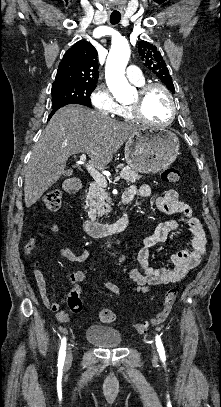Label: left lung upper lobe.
Instances as JSON below:
<instances>
[{
    "label": "left lung upper lobe",
    "instance_id": "5c2ea615",
    "mask_svg": "<svg viewBox=\"0 0 221 407\" xmlns=\"http://www.w3.org/2000/svg\"><path fill=\"white\" fill-rule=\"evenodd\" d=\"M138 49L139 54L142 57V61L145 62L144 65L152 70L166 85V87L174 93L175 88L172 82V78L169 74V70L166 67L163 57L157 50V47L153 44H150L149 42L140 41Z\"/></svg>",
    "mask_w": 221,
    "mask_h": 407
}]
</instances>
